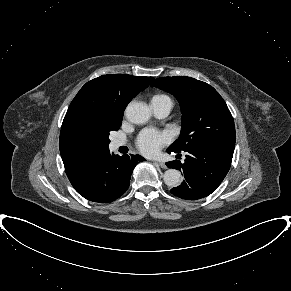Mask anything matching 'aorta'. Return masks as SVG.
I'll return each mask as SVG.
<instances>
[{
	"mask_svg": "<svg viewBox=\"0 0 291 291\" xmlns=\"http://www.w3.org/2000/svg\"><path fill=\"white\" fill-rule=\"evenodd\" d=\"M126 118L134 124H144L146 123L151 112L147 104L142 102H132L125 110ZM163 180L165 184L169 187H177L183 180L180 171L176 169H168L165 171Z\"/></svg>",
	"mask_w": 291,
	"mask_h": 291,
	"instance_id": "obj_1",
	"label": "aorta"
}]
</instances>
